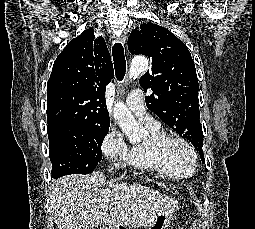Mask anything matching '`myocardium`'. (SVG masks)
Here are the masks:
<instances>
[{"label": "myocardium", "instance_id": "1", "mask_svg": "<svg viewBox=\"0 0 255 229\" xmlns=\"http://www.w3.org/2000/svg\"><path fill=\"white\" fill-rule=\"evenodd\" d=\"M172 144H178L182 146L189 153L190 158L186 162H176L171 157L168 149ZM154 148L157 154L173 167H188L193 170L197 164L198 154L195 148L182 137L164 134L154 141Z\"/></svg>", "mask_w": 255, "mask_h": 229}]
</instances>
